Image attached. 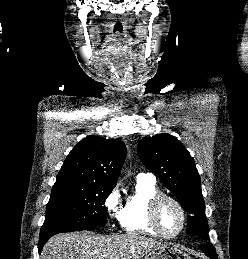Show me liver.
<instances>
[{
    "mask_svg": "<svg viewBox=\"0 0 248 259\" xmlns=\"http://www.w3.org/2000/svg\"><path fill=\"white\" fill-rule=\"evenodd\" d=\"M165 246L135 233L99 235L90 231L61 233L51 237L40 259H141Z\"/></svg>",
    "mask_w": 248,
    "mask_h": 259,
    "instance_id": "1",
    "label": "liver"
}]
</instances>
